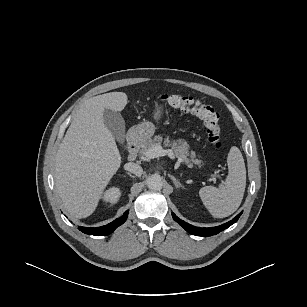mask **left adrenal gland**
Returning <instances> with one entry per match:
<instances>
[{
  "label": "left adrenal gland",
  "mask_w": 307,
  "mask_h": 307,
  "mask_svg": "<svg viewBox=\"0 0 307 307\" xmlns=\"http://www.w3.org/2000/svg\"><path fill=\"white\" fill-rule=\"evenodd\" d=\"M169 177L171 178V180L174 182V185L176 188H184V186L179 182L178 179H176L174 176L169 175Z\"/></svg>",
  "instance_id": "left-adrenal-gland-1"
}]
</instances>
